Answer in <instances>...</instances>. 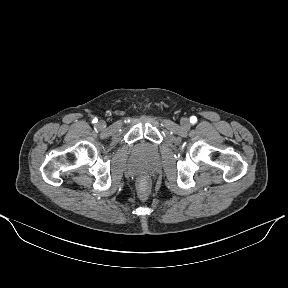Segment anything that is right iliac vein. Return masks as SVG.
Returning <instances> with one entry per match:
<instances>
[{"label":"right iliac vein","instance_id":"obj_1","mask_svg":"<svg viewBox=\"0 0 288 288\" xmlns=\"http://www.w3.org/2000/svg\"><path fill=\"white\" fill-rule=\"evenodd\" d=\"M96 126L98 129L102 130L106 127V122L104 120H100Z\"/></svg>","mask_w":288,"mask_h":288}]
</instances>
